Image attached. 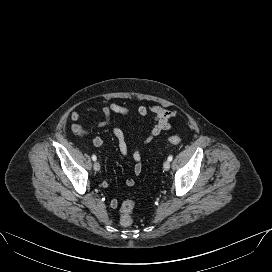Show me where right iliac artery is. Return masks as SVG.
<instances>
[{"label": "right iliac artery", "mask_w": 272, "mask_h": 272, "mask_svg": "<svg viewBox=\"0 0 272 272\" xmlns=\"http://www.w3.org/2000/svg\"><path fill=\"white\" fill-rule=\"evenodd\" d=\"M92 160L93 161H96L97 160V157L95 155H92Z\"/></svg>", "instance_id": "82829eb1"}]
</instances>
